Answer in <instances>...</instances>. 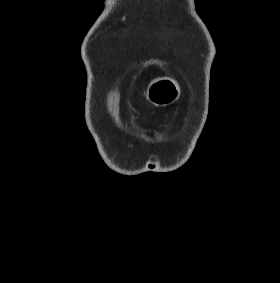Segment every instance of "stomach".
<instances>
[{"mask_svg":"<svg viewBox=\"0 0 280 283\" xmlns=\"http://www.w3.org/2000/svg\"><path fill=\"white\" fill-rule=\"evenodd\" d=\"M180 94L177 81L169 77H158L149 83L146 99L155 106H167L177 101Z\"/></svg>","mask_w":280,"mask_h":283,"instance_id":"0dacf381","label":"stomach"}]
</instances>
